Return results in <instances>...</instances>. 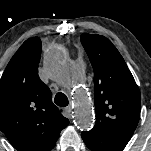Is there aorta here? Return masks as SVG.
Listing matches in <instances>:
<instances>
[{"label":"aorta","instance_id":"762f6f07","mask_svg":"<svg viewBox=\"0 0 151 151\" xmlns=\"http://www.w3.org/2000/svg\"><path fill=\"white\" fill-rule=\"evenodd\" d=\"M47 66L53 76L66 83L75 82V74L63 47L54 45L50 48L47 54ZM72 99L76 124L82 130L91 129L94 123V113L87 93L77 86L72 90Z\"/></svg>","mask_w":151,"mask_h":151}]
</instances>
